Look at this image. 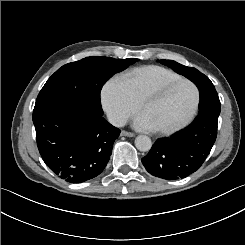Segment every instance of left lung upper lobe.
<instances>
[{"label": "left lung upper lobe", "instance_id": "1", "mask_svg": "<svg viewBox=\"0 0 245 245\" xmlns=\"http://www.w3.org/2000/svg\"><path fill=\"white\" fill-rule=\"evenodd\" d=\"M161 64L171 67L177 73L190 79L195 84L208 80L209 78L193 67L183 66L173 60H158Z\"/></svg>", "mask_w": 245, "mask_h": 245}]
</instances>
